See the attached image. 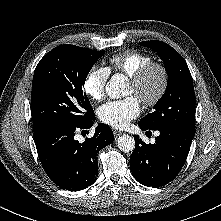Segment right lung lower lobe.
<instances>
[{"mask_svg":"<svg viewBox=\"0 0 221 221\" xmlns=\"http://www.w3.org/2000/svg\"><path fill=\"white\" fill-rule=\"evenodd\" d=\"M94 120L93 115L79 124H58L34 133L42 167L57 186L79 191L96 180L97 152L113 142L112 130L101 123L92 138L83 143L74 139L77 130L89 129Z\"/></svg>","mask_w":221,"mask_h":221,"instance_id":"obj_1","label":"right lung lower lobe"}]
</instances>
